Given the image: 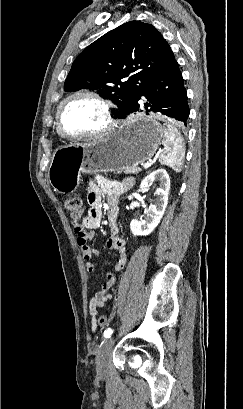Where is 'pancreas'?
Listing matches in <instances>:
<instances>
[{"label": "pancreas", "mask_w": 243, "mask_h": 409, "mask_svg": "<svg viewBox=\"0 0 243 409\" xmlns=\"http://www.w3.org/2000/svg\"><path fill=\"white\" fill-rule=\"evenodd\" d=\"M140 171H141L140 168L134 167V168L125 169L123 172L126 174H138Z\"/></svg>", "instance_id": "cf45deb5"}]
</instances>
